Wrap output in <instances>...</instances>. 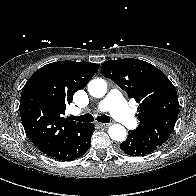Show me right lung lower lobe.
Segmentation results:
<instances>
[{"label": "right lung lower lobe", "instance_id": "1", "mask_svg": "<svg viewBox=\"0 0 196 196\" xmlns=\"http://www.w3.org/2000/svg\"><path fill=\"white\" fill-rule=\"evenodd\" d=\"M94 130V124H83L73 131L63 143L45 154L59 161L74 160L84 155L90 148V138Z\"/></svg>", "mask_w": 196, "mask_h": 196}]
</instances>
